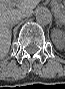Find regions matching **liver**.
<instances>
[{"instance_id": "liver-1", "label": "liver", "mask_w": 65, "mask_h": 89, "mask_svg": "<svg viewBox=\"0 0 65 89\" xmlns=\"http://www.w3.org/2000/svg\"><path fill=\"white\" fill-rule=\"evenodd\" d=\"M39 3L38 0L0 1V56L4 57L11 46V21L20 15L29 14ZM18 8L15 9L14 7Z\"/></svg>"}]
</instances>
